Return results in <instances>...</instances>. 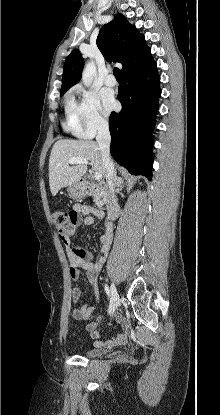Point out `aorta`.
I'll use <instances>...</instances> for the list:
<instances>
[{
    "instance_id": "aorta-1",
    "label": "aorta",
    "mask_w": 220,
    "mask_h": 415,
    "mask_svg": "<svg viewBox=\"0 0 220 415\" xmlns=\"http://www.w3.org/2000/svg\"><path fill=\"white\" fill-rule=\"evenodd\" d=\"M96 72L95 63L88 62L82 72V82L85 86L89 87L92 84Z\"/></svg>"
}]
</instances>
